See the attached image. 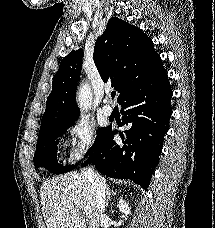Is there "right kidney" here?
<instances>
[{
    "label": "right kidney",
    "instance_id": "ca27d5eb",
    "mask_svg": "<svg viewBox=\"0 0 215 228\" xmlns=\"http://www.w3.org/2000/svg\"><path fill=\"white\" fill-rule=\"evenodd\" d=\"M117 208H119V212H122V214H126V216H130L131 208H129V204H127V202H125V200H123V198H121V200H119V202L117 204Z\"/></svg>",
    "mask_w": 215,
    "mask_h": 228
}]
</instances>
